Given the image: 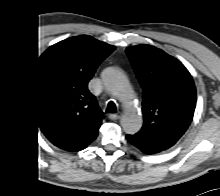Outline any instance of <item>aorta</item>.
Instances as JSON below:
<instances>
[{
    "label": "aorta",
    "instance_id": "762f6f07",
    "mask_svg": "<svg viewBox=\"0 0 220 196\" xmlns=\"http://www.w3.org/2000/svg\"><path fill=\"white\" fill-rule=\"evenodd\" d=\"M103 79L105 85L120 99L125 106V112L121 119V125L129 134L136 133L142 126V115L134 108L135 94L127 78L119 70H107Z\"/></svg>",
    "mask_w": 220,
    "mask_h": 196
}]
</instances>
